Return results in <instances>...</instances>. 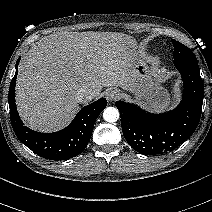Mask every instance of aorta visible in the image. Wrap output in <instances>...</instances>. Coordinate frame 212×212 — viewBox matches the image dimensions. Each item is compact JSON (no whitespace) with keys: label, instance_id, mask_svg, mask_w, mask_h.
<instances>
[{"label":"aorta","instance_id":"obj_1","mask_svg":"<svg viewBox=\"0 0 212 212\" xmlns=\"http://www.w3.org/2000/svg\"><path fill=\"white\" fill-rule=\"evenodd\" d=\"M119 111L115 107H107L103 111V118L105 121L113 123L119 119Z\"/></svg>","mask_w":212,"mask_h":212}]
</instances>
